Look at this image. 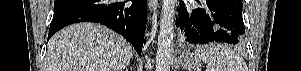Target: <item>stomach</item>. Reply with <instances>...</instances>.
<instances>
[{"label":"stomach","mask_w":301,"mask_h":71,"mask_svg":"<svg viewBox=\"0 0 301 71\" xmlns=\"http://www.w3.org/2000/svg\"><path fill=\"white\" fill-rule=\"evenodd\" d=\"M201 62L202 60L195 54H186L183 57L181 66L183 69L191 71L195 68H198L201 65Z\"/></svg>","instance_id":"0dacf381"}]
</instances>
